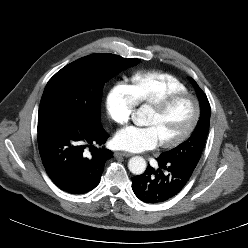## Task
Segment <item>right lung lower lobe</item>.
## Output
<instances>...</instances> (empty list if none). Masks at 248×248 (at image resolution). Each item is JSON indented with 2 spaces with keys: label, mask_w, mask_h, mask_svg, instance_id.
Instances as JSON below:
<instances>
[{
  "label": "right lung lower lobe",
  "mask_w": 248,
  "mask_h": 248,
  "mask_svg": "<svg viewBox=\"0 0 248 248\" xmlns=\"http://www.w3.org/2000/svg\"><path fill=\"white\" fill-rule=\"evenodd\" d=\"M108 137L101 125L89 129L59 121L38 124L40 156L55 185L71 194L93 190L99 184L105 162L113 157V152L96 148L89 158L83 152L93 144H104Z\"/></svg>",
  "instance_id": "98d812e1"
}]
</instances>
